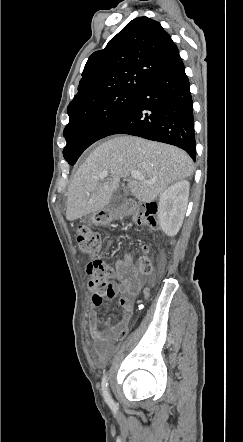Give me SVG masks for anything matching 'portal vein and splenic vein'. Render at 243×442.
<instances>
[{
	"mask_svg": "<svg viewBox=\"0 0 243 442\" xmlns=\"http://www.w3.org/2000/svg\"><path fill=\"white\" fill-rule=\"evenodd\" d=\"M107 176H108V171L107 170H103L99 174V178L100 179H104ZM131 177L134 178V179H143V177L141 176L140 172H138V171H132L131 172Z\"/></svg>",
	"mask_w": 243,
	"mask_h": 442,
	"instance_id": "1",
	"label": "portal vein and splenic vein"
}]
</instances>
